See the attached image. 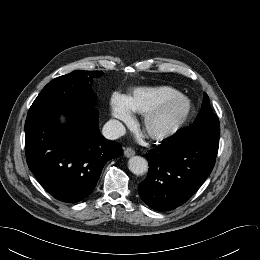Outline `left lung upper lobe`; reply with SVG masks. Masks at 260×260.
<instances>
[{
  "mask_svg": "<svg viewBox=\"0 0 260 260\" xmlns=\"http://www.w3.org/2000/svg\"><path fill=\"white\" fill-rule=\"evenodd\" d=\"M174 136L188 138H202L219 141L220 124L218 117L214 114L208 95L205 93L202 108L193 124L187 128L178 130Z\"/></svg>",
  "mask_w": 260,
  "mask_h": 260,
  "instance_id": "1",
  "label": "left lung upper lobe"
}]
</instances>
